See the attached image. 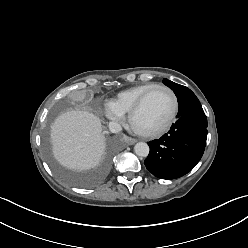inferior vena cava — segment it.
Listing matches in <instances>:
<instances>
[{"mask_svg": "<svg viewBox=\"0 0 248 248\" xmlns=\"http://www.w3.org/2000/svg\"><path fill=\"white\" fill-rule=\"evenodd\" d=\"M108 127L112 133H118L122 130L121 125L117 122H109Z\"/></svg>", "mask_w": 248, "mask_h": 248, "instance_id": "1", "label": "inferior vena cava"}]
</instances>
